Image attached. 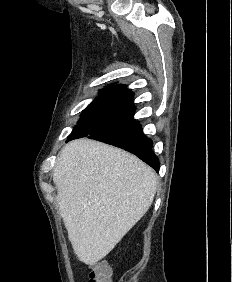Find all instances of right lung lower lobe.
Here are the masks:
<instances>
[{
    "label": "right lung lower lobe",
    "mask_w": 232,
    "mask_h": 282,
    "mask_svg": "<svg viewBox=\"0 0 232 282\" xmlns=\"http://www.w3.org/2000/svg\"><path fill=\"white\" fill-rule=\"evenodd\" d=\"M88 138L129 151L154 168L156 172L159 171V159L152 150L153 142L142 134V127L138 122L121 129L97 133Z\"/></svg>",
    "instance_id": "98d812e1"
}]
</instances>
